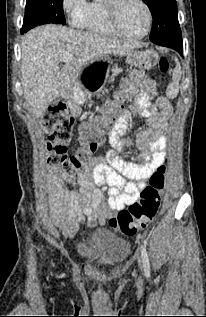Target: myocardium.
Returning a JSON list of instances; mask_svg holds the SVG:
<instances>
[{
	"label": "myocardium",
	"mask_w": 206,
	"mask_h": 317,
	"mask_svg": "<svg viewBox=\"0 0 206 317\" xmlns=\"http://www.w3.org/2000/svg\"><path fill=\"white\" fill-rule=\"evenodd\" d=\"M125 1L126 0H105V9H106L109 26L111 27V29L116 35L122 38L129 39V40H139V39L145 38L150 33L152 21H153L152 11L149 5L146 3L145 0H137V2L141 4V6L144 8L146 12L147 23H146L145 30L142 33L138 35H129L121 29L118 22L119 10L121 5Z\"/></svg>",
	"instance_id": "obj_1"
}]
</instances>
